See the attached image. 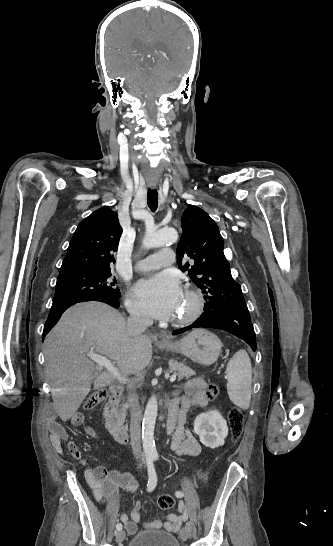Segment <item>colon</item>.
<instances>
[{
    "instance_id": "colon-1",
    "label": "colon",
    "mask_w": 333,
    "mask_h": 546,
    "mask_svg": "<svg viewBox=\"0 0 333 546\" xmlns=\"http://www.w3.org/2000/svg\"><path fill=\"white\" fill-rule=\"evenodd\" d=\"M219 394V388L216 384L212 383L205 389V397L207 400H213ZM107 391L104 389L98 390L92 393L84 402V408L91 410L96 407V405L107 398ZM228 422L231 433V442L235 443L241 435L244 416L241 410L237 407H233L228 414ZM199 477L204 479L205 473L203 471L199 472ZM175 505V500L170 494H162L158 498V506L162 510H169Z\"/></svg>"
}]
</instances>
